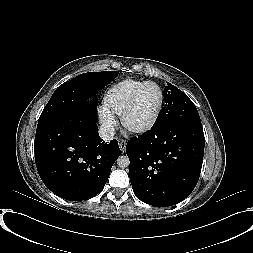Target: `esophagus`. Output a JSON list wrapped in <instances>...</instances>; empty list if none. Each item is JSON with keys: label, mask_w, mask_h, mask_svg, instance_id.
<instances>
[{"label": "esophagus", "mask_w": 253, "mask_h": 253, "mask_svg": "<svg viewBox=\"0 0 253 253\" xmlns=\"http://www.w3.org/2000/svg\"><path fill=\"white\" fill-rule=\"evenodd\" d=\"M118 143H119V148H120L121 152L124 153L126 150V144H127L126 141L123 139H119Z\"/></svg>", "instance_id": "obj_1"}]
</instances>
